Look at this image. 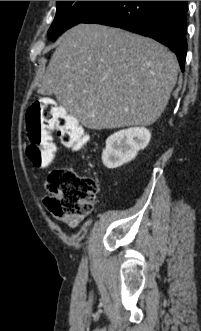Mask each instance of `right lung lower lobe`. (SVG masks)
Here are the masks:
<instances>
[{"label": "right lung lower lobe", "instance_id": "right-lung-lower-lobe-1", "mask_svg": "<svg viewBox=\"0 0 201 331\" xmlns=\"http://www.w3.org/2000/svg\"><path fill=\"white\" fill-rule=\"evenodd\" d=\"M187 1H109L82 23L103 24L151 37L169 47L184 70Z\"/></svg>", "mask_w": 201, "mask_h": 331}]
</instances>
